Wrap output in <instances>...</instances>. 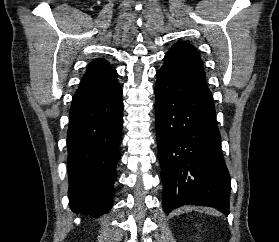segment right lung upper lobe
I'll use <instances>...</instances> for the list:
<instances>
[{
  "mask_svg": "<svg viewBox=\"0 0 279 242\" xmlns=\"http://www.w3.org/2000/svg\"><path fill=\"white\" fill-rule=\"evenodd\" d=\"M116 70L104 59L90 63L73 100L94 97L109 91L118 84Z\"/></svg>",
  "mask_w": 279,
  "mask_h": 242,
  "instance_id": "1",
  "label": "right lung upper lobe"
}]
</instances>
